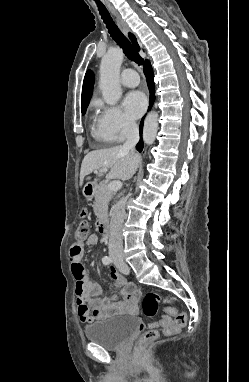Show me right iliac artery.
<instances>
[{
  "mask_svg": "<svg viewBox=\"0 0 249 382\" xmlns=\"http://www.w3.org/2000/svg\"><path fill=\"white\" fill-rule=\"evenodd\" d=\"M102 262H103V264L108 265L112 262V260L108 256H105V257H103Z\"/></svg>",
  "mask_w": 249,
  "mask_h": 382,
  "instance_id": "82829eb1",
  "label": "right iliac artery"
}]
</instances>
